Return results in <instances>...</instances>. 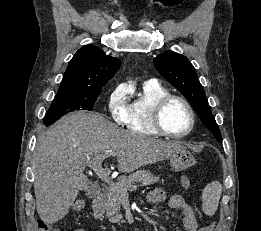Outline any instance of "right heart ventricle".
<instances>
[{"label":"right heart ventricle","mask_w":261,"mask_h":231,"mask_svg":"<svg viewBox=\"0 0 261 231\" xmlns=\"http://www.w3.org/2000/svg\"><path fill=\"white\" fill-rule=\"evenodd\" d=\"M169 91L157 83H145L139 96L127 106L125 126L129 131L142 136L154 137L159 132L152 123V113L157 101Z\"/></svg>","instance_id":"e07e8e85"}]
</instances>
